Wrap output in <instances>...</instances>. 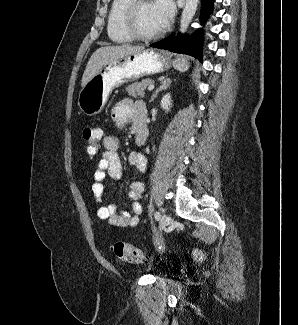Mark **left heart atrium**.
I'll use <instances>...</instances> for the list:
<instances>
[{
    "mask_svg": "<svg viewBox=\"0 0 298 325\" xmlns=\"http://www.w3.org/2000/svg\"><path fill=\"white\" fill-rule=\"evenodd\" d=\"M157 5H158L161 26L164 29L168 26V24L170 23V21L174 16L175 7L172 1L170 0L158 1Z\"/></svg>",
    "mask_w": 298,
    "mask_h": 325,
    "instance_id": "1",
    "label": "left heart atrium"
}]
</instances>
